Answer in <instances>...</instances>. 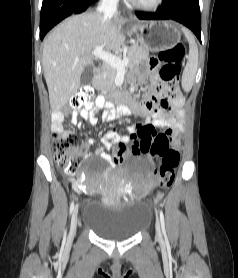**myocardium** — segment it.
<instances>
[{
    "label": "myocardium",
    "instance_id": "f54148a6",
    "mask_svg": "<svg viewBox=\"0 0 238 278\" xmlns=\"http://www.w3.org/2000/svg\"><path fill=\"white\" fill-rule=\"evenodd\" d=\"M134 7L139 10L152 12L156 11L163 3L164 0H154L151 3H142L137 0H129Z\"/></svg>",
    "mask_w": 238,
    "mask_h": 278
}]
</instances>
